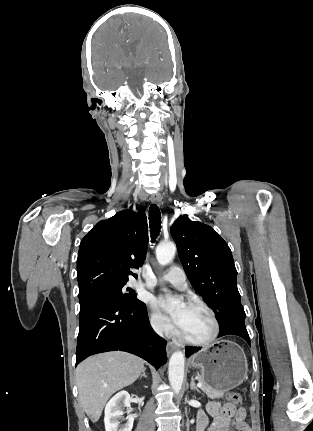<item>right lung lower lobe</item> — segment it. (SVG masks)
<instances>
[{"label": "right lung lower lobe", "instance_id": "right-lung-lower-lobe-1", "mask_svg": "<svg viewBox=\"0 0 313 431\" xmlns=\"http://www.w3.org/2000/svg\"><path fill=\"white\" fill-rule=\"evenodd\" d=\"M165 347L166 341L150 326L143 302L130 305L101 294L80 298L76 366L91 355L120 350L159 368L167 360Z\"/></svg>", "mask_w": 313, "mask_h": 431}]
</instances>
